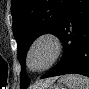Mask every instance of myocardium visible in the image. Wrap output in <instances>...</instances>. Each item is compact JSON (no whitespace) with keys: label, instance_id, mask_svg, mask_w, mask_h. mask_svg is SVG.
Masks as SVG:
<instances>
[{"label":"myocardium","instance_id":"1","mask_svg":"<svg viewBox=\"0 0 89 89\" xmlns=\"http://www.w3.org/2000/svg\"><path fill=\"white\" fill-rule=\"evenodd\" d=\"M42 41H49L50 43H52L54 52H53V56H52L51 60L49 61V63L47 65H45L42 68L35 69L30 64V56H31L33 49ZM62 50H63L62 41L57 34L50 32V31H45V32L39 34L37 37L34 38V40L31 42V44L27 50L26 64H27L28 69L33 72H41V71L50 69L51 67H53L56 64V62L60 58V56L62 54Z\"/></svg>","mask_w":89,"mask_h":89}]
</instances>
